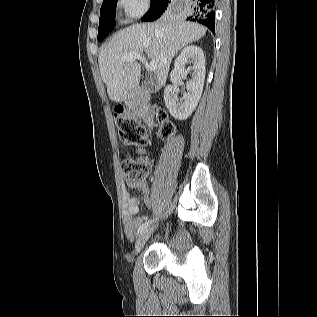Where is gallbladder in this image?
<instances>
[{"mask_svg": "<svg viewBox=\"0 0 317 317\" xmlns=\"http://www.w3.org/2000/svg\"><path fill=\"white\" fill-rule=\"evenodd\" d=\"M144 87L146 89H150L152 87V83H146Z\"/></svg>", "mask_w": 317, "mask_h": 317, "instance_id": "bac80fb5", "label": "gallbladder"}]
</instances>
